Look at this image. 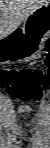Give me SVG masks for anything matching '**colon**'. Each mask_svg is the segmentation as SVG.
Wrapping results in <instances>:
<instances>
[{
  "mask_svg": "<svg viewBox=\"0 0 50 148\" xmlns=\"http://www.w3.org/2000/svg\"><path fill=\"white\" fill-rule=\"evenodd\" d=\"M48 48L50 44L47 43ZM43 63L47 70H9L1 73V81L6 88V92L14 99L19 100H38L47 93L50 78L48 66L50 65V56L44 57Z\"/></svg>",
  "mask_w": 50,
  "mask_h": 148,
  "instance_id": "obj_1",
  "label": "colon"
}]
</instances>
